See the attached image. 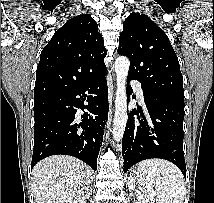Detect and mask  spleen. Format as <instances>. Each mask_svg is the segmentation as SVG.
Returning <instances> with one entry per match:
<instances>
[{
    "instance_id": "spleen-1",
    "label": "spleen",
    "mask_w": 214,
    "mask_h": 203,
    "mask_svg": "<svg viewBox=\"0 0 214 203\" xmlns=\"http://www.w3.org/2000/svg\"><path fill=\"white\" fill-rule=\"evenodd\" d=\"M137 183L148 192V195L145 192L142 203H183L185 198L182 173L165 160L140 162L137 165Z\"/></svg>"
}]
</instances>
